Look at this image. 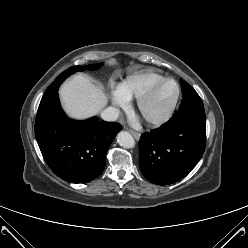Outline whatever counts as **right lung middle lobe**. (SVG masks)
Segmentation results:
<instances>
[{"label": "right lung middle lobe", "instance_id": "obj_1", "mask_svg": "<svg viewBox=\"0 0 248 248\" xmlns=\"http://www.w3.org/2000/svg\"><path fill=\"white\" fill-rule=\"evenodd\" d=\"M103 63L100 64H92L87 65L84 67L81 66H73L62 72L55 80L54 82L47 88L46 92L44 93L41 102L49 99L50 97L54 96L58 92V88L60 84L71 74L75 73L76 71H83L84 69L88 70H96L99 69L102 66Z\"/></svg>", "mask_w": 248, "mask_h": 248}]
</instances>
